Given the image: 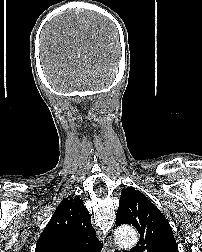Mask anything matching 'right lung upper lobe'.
Listing matches in <instances>:
<instances>
[{
	"mask_svg": "<svg viewBox=\"0 0 202 252\" xmlns=\"http://www.w3.org/2000/svg\"><path fill=\"white\" fill-rule=\"evenodd\" d=\"M91 216L78 196L65 198L41 233L35 252H100Z\"/></svg>",
	"mask_w": 202,
	"mask_h": 252,
	"instance_id": "1",
	"label": "right lung upper lobe"
}]
</instances>
